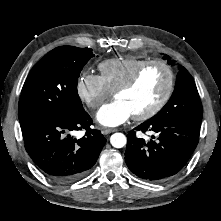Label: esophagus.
I'll use <instances>...</instances> for the list:
<instances>
[{
	"mask_svg": "<svg viewBox=\"0 0 221 221\" xmlns=\"http://www.w3.org/2000/svg\"><path fill=\"white\" fill-rule=\"evenodd\" d=\"M115 131H116V129H114V128H104L102 130V134L107 135V134H110V133L115 132Z\"/></svg>",
	"mask_w": 221,
	"mask_h": 221,
	"instance_id": "esophagus-1",
	"label": "esophagus"
}]
</instances>
